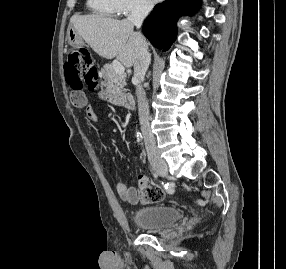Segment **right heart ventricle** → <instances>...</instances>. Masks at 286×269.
Here are the masks:
<instances>
[{
  "instance_id": "e07e8e85",
  "label": "right heart ventricle",
  "mask_w": 286,
  "mask_h": 269,
  "mask_svg": "<svg viewBox=\"0 0 286 269\" xmlns=\"http://www.w3.org/2000/svg\"><path fill=\"white\" fill-rule=\"evenodd\" d=\"M87 8L94 14L115 17L118 13L116 0H86Z\"/></svg>"
}]
</instances>
